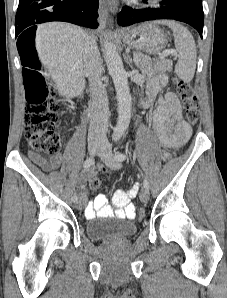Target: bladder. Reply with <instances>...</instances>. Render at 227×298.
<instances>
[{"label":"bladder","mask_w":227,"mask_h":298,"mask_svg":"<svg viewBox=\"0 0 227 298\" xmlns=\"http://www.w3.org/2000/svg\"><path fill=\"white\" fill-rule=\"evenodd\" d=\"M136 232V223L127 219H93L85 225L86 236L93 241L121 240L133 236Z\"/></svg>","instance_id":"bladder-1"}]
</instances>
